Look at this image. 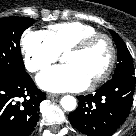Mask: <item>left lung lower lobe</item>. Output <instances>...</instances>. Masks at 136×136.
<instances>
[{
  "mask_svg": "<svg viewBox=\"0 0 136 136\" xmlns=\"http://www.w3.org/2000/svg\"><path fill=\"white\" fill-rule=\"evenodd\" d=\"M135 89V76L112 78L96 93L78 96L77 109L68 117L88 136H109L125 121Z\"/></svg>",
  "mask_w": 136,
  "mask_h": 136,
  "instance_id": "obj_1",
  "label": "left lung lower lobe"
}]
</instances>
